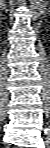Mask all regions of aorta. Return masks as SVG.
<instances>
[{
	"mask_svg": "<svg viewBox=\"0 0 50 148\" xmlns=\"http://www.w3.org/2000/svg\"><path fill=\"white\" fill-rule=\"evenodd\" d=\"M46 7L44 0H31V8L35 17L40 16Z\"/></svg>",
	"mask_w": 50,
	"mask_h": 148,
	"instance_id": "1",
	"label": "aorta"
}]
</instances>
